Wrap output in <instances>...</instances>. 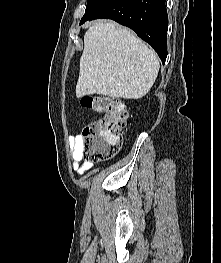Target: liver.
<instances>
[{"label": "liver", "instance_id": "liver-1", "mask_svg": "<svg viewBox=\"0 0 221 263\" xmlns=\"http://www.w3.org/2000/svg\"><path fill=\"white\" fill-rule=\"evenodd\" d=\"M159 68L156 53L128 29L114 22H96L84 35L76 96L142 98L153 86Z\"/></svg>", "mask_w": 221, "mask_h": 263}]
</instances>
